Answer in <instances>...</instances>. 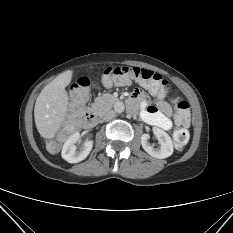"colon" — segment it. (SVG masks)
Returning <instances> with one entry per match:
<instances>
[{"mask_svg":"<svg viewBox=\"0 0 233 233\" xmlns=\"http://www.w3.org/2000/svg\"><path fill=\"white\" fill-rule=\"evenodd\" d=\"M103 83L111 85L139 84L160 99H165L170 92L169 85L160 75L148 69L130 66H109L102 77ZM90 81L80 78L70 90V109L67 121L59 135L48 142L50 150L55 151L60 144L73 135L81 126L83 117H87L86 100L89 93ZM174 104L173 117L177 124L187 126L190 122L189 104L177 97L172 99ZM189 141V132L186 128H179L174 132L173 144L177 150H182Z\"/></svg>","mask_w":233,"mask_h":233,"instance_id":"1","label":"colon"}]
</instances>
